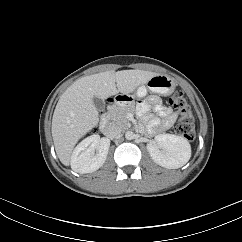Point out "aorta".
Instances as JSON below:
<instances>
[{
    "label": "aorta",
    "instance_id": "aorta-1",
    "mask_svg": "<svg viewBox=\"0 0 242 242\" xmlns=\"http://www.w3.org/2000/svg\"><path fill=\"white\" fill-rule=\"evenodd\" d=\"M134 136H135V134H134V132H132V131H127V132L125 133V138H126L127 140H132V139H134Z\"/></svg>",
    "mask_w": 242,
    "mask_h": 242
}]
</instances>
